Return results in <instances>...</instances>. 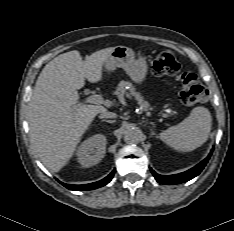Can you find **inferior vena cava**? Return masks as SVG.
I'll return each mask as SVG.
<instances>
[{
  "mask_svg": "<svg viewBox=\"0 0 234 231\" xmlns=\"http://www.w3.org/2000/svg\"><path fill=\"white\" fill-rule=\"evenodd\" d=\"M116 117H117L116 113L109 111H102L99 116V118H116Z\"/></svg>",
  "mask_w": 234,
  "mask_h": 231,
  "instance_id": "inferior-vena-cava-1",
  "label": "inferior vena cava"
}]
</instances>
